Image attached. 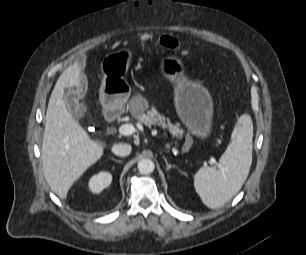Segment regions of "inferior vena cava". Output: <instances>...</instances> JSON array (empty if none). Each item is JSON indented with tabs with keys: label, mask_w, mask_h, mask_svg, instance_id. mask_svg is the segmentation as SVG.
Returning a JSON list of instances; mask_svg holds the SVG:
<instances>
[{
	"label": "inferior vena cava",
	"mask_w": 306,
	"mask_h": 255,
	"mask_svg": "<svg viewBox=\"0 0 306 255\" xmlns=\"http://www.w3.org/2000/svg\"><path fill=\"white\" fill-rule=\"evenodd\" d=\"M131 145L126 143H117L112 147V152L120 157H126L131 153Z\"/></svg>",
	"instance_id": "602c4592"
}]
</instances>
